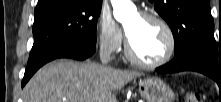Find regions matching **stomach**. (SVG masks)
Wrapping results in <instances>:
<instances>
[{"label":"stomach","mask_w":221,"mask_h":102,"mask_svg":"<svg viewBox=\"0 0 221 102\" xmlns=\"http://www.w3.org/2000/svg\"><path fill=\"white\" fill-rule=\"evenodd\" d=\"M138 85L140 95L146 102H174V92L159 78L143 79Z\"/></svg>","instance_id":"stomach-1"}]
</instances>
